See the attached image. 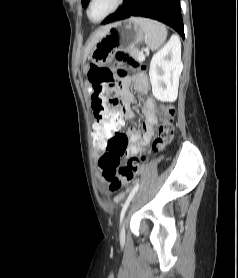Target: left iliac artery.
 I'll use <instances>...</instances> for the list:
<instances>
[{
    "instance_id": "obj_1",
    "label": "left iliac artery",
    "mask_w": 238,
    "mask_h": 278,
    "mask_svg": "<svg viewBox=\"0 0 238 278\" xmlns=\"http://www.w3.org/2000/svg\"><path fill=\"white\" fill-rule=\"evenodd\" d=\"M139 188V183H137L134 188L132 189L131 193L129 194L127 200L125 201L124 205H123V208L121 210V214H120V222L122 221L124 215H125V212H126V209L130 203V201L132 200V198L134 197L135 193L137 192Z\"/></svg>"
}]
</instances>
